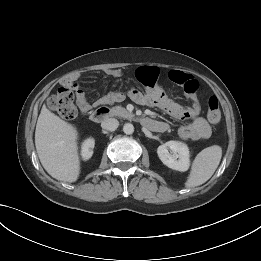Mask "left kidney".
Returning a JSON list of instances; mask_svg holds the SVG:
<instances>
[{
	"instance_id": "obj_1",
	"label": "left kidney",
	"mask_w": 261,
	"mask_h": 261,
	"mask_svg": "<svg viewBox=\"0 0 261 261\" xmlns=\"http://www.w3.org/2000/svg\"><path fill=\"white\" fill-rule=\"evenodd\" d=\"M160 160L169 168L185 172L190 166L188 146L179 141H168L157 149Z\"/></svg>"
}]
</instances>
